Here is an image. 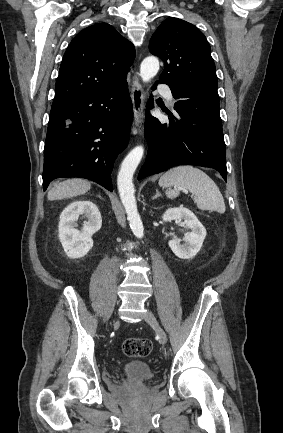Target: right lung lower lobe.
I'll return each mask as SVG.
<instances>
[{
	"label": "right lung lower lobe",
	"mask_w": 283,
	"mask_h": 433,
	"mask_svg": "<svg viewBox=\"0 0 283 433\" xmlns=\"http://www.w3.org/2000/svg\"><path fill=\"white\" fill-rule=\"evenodd\" d=\"M133 106L121 85L53 102L44 148L43 189L62 177H81L113 191L111 172L128 144Z\"/></svg>",
	"instance_id": "obj_1"
}]
</instances>
